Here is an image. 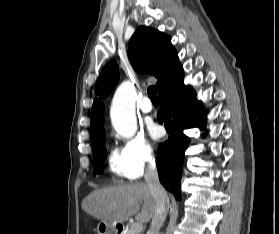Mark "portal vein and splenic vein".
<instances>
[{"mask_svg":"<svg viewBox=\"0 0 279 234\" xmlns=\"http://www.w3.org/2000/svg\"><path fill=\"white\" fill-rule=\"evenodd\" d=\"M142 229H143V224L141 222H137L132 225V231L134 233H139L142 231Z\"/></svg>","mask_w":279,"mask_h":234,"instance_id":"portal-vein-and-splenic-vein-1","label":"portal vein and splenic vein"}]
</instances>
